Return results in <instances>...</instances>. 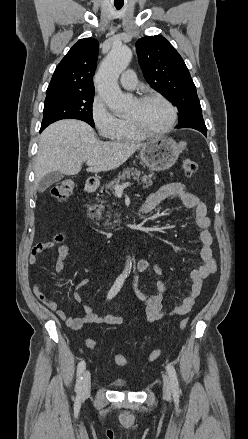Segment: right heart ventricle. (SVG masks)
<instances>
[{"instance_id":"1","label":"right heart ventricle","mask_w":248,"mask_h":439,"mask_svg":"<svg viewBox=\"0 0 248 439\" xmlns=\"http://www.w3.org/2000/svg\"><path fill=\"white\" fill-rule=\"evenodd\" d=\"M112 139L119 143H137L142 141L144 137L133 130L127 118H122L119 129Z\"/></svg>"}]
</instances>
